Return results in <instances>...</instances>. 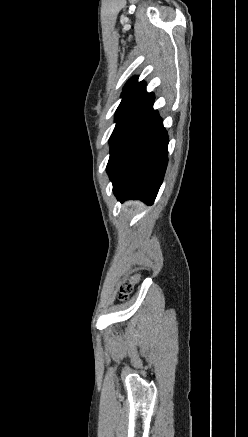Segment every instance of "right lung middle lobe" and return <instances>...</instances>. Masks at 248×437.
I'll list each match as a JSON object with an SVG mask.
<instances>
[{
  "mask_svg": "<svg viewBox=\"0 0 248 437\" xmlns=\"http://www.w3.org/2000/svg\"><path fill=\"white\" fill-rule=\"evenodd\" d=\"M138 97L139 96L135 95V94L123 97V99H122V101H121L120 105L118 106L116 113H115L116 126H115V129H114L111 137H110V143L113 140V138L115 137V135L118 132V130L120 129V127L122 126L125 117L127 116L128 112L133 107V105L136 102Z\"/></svg>",
  "mask_w": 248,
  "mask_h": 437,
  "instance_id": "right-lung-middle-lobe-1",
  "label": "right lung middle lobe"
}]
</instances>
